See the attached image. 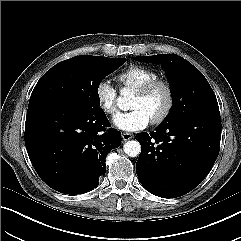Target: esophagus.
Masks as SVG:
<instances>
[{"instance_id":"esophagus-1","label":"esophagus","mask_w":241,"mask_h":241,"mask_svg":"<svg viewBox=\"0 0 241 241\" xmlns=\"http://www.w3.org/2000/svg\"><path fill=\"white\" fill-rule=\"evenodd\" d=\"M132 138H133V134L128 133V132L122 133V139H123L124 141L130 140V139H132Z\"/></svg>"}]
</instances>
